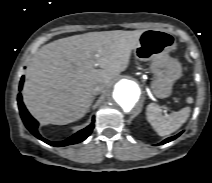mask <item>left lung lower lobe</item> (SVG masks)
Masks as SVG:
<instances>
[{"label": "left lung lower lobe", "instance_id": "obj_1", "mask_svg": "<svg viewBox=\"0 0 212 183\" xmlns=\"http://www.w3.org/2000/svg\"><path fill=\"white\" fill-rule=\"evenodd\" d=\"M180 134H181V133H179V134L176 135V136L169 137V138L165 139L163 142H161L160 144H165V143H167V142H170V141L174 140L175 138H177Z\"/></svg>", "mask_w": 212, "mask_h": 183}]
</instances>
